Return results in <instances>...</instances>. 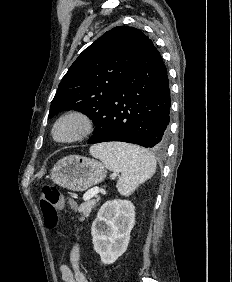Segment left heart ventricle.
Segmentation results:
<instances>
[{"instance_id":"obj_1","label":"left heart ventricle","mask_w":232,"mask_h":282,"mask_svg":"<svg viewBox=\"0 0 232 282\" xmlns=\"http://www.w3.org/2000/svg\"><path fill=\"white\" fill-rule=\"evenodd\" d=\"M72 131L71 127L61 128L59 130V135H66Z\"/></svg>"}]
</instances>
